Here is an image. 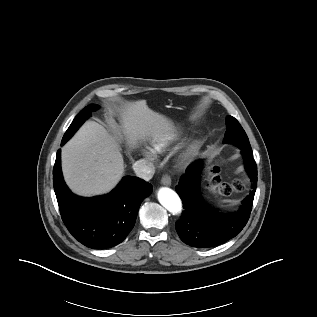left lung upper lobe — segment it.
<instances>
[{
  "instance_id": "5c2ea615",
  "label": "left lung upper lobe",
  "mask_w": 317,
  "mask_h": 317,
  "mask_svg": "<svg viewBox=\"0 0 317 317\" xmlns=\"http://www.w3.org/2000/svg\"><path fill=\"white\" fill-rule=\"evenodd\" d=\"M226 124L224 143H234L240 149H251L248 137L239 122L234 117L228 116Z\"/></svg>"
}]
</instances>
